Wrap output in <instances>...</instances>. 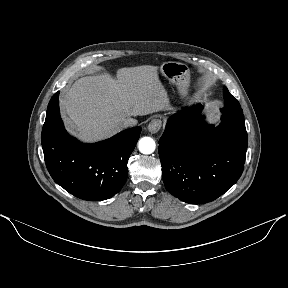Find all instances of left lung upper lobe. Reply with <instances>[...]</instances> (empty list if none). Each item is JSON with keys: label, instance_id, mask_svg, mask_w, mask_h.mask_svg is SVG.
I'll use <instances>...</instances> for the list:
<instances>
[{"label": "left lung upper lobe", "instance_id": "5c2ea615", "mask_svg": "<svg viewBox=\"0 0 288 288\" xmlns=\"http://www.w3.org/2000/svg\"><path fill=\"white\" fill-rule=\"evenodd\" d=\"M223 94L225 102L221 111L237 118L244 119L243 110L238 100L229 93L226 87L223 88Z\"/></svg>", "mask_w": 288, "mask_h": 288}]
</instances>
